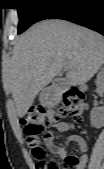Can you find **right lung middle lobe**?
Returning a JSON list of instances; mask_svg holds the SVG:
<instances>
[{"label": "right lung middle lobe", "mask_w": 104, "mask_h": 169, "mask_svg": "<svg viewBox=\"0 0 104 169\" xmlns=\"http://www.w3.org/2000/svg\"><path fill=\"white\" fill-rule=\"evenodd\" d=\"M18 6L19 26L18 34H21L35 22L48 19L62 6L74 0H15Z\"/></svg>", "instance_id": "right-lung-middle-lobe-1"}]
</instances>
